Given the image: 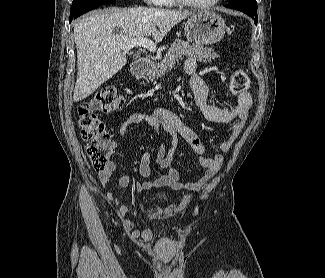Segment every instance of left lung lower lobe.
Here are the masks:
<instances>
[{
    "label": "left lung lower lobe",
    "instance_id": "0a47b994",
    "mask_svg": "<svg viewBox=\"0 0 325 278\" xmlns=\"http://www.w3.org/2000/svg\"><path fill=\"white\" fill-rule=\"evenodd\" d=\"M225 7L240 10L252 17L254 23L257 25V2L256 0H231Z\"/></svg>",
    "mask_w": 325,
    "mask_h": 278
}]
</instances>
